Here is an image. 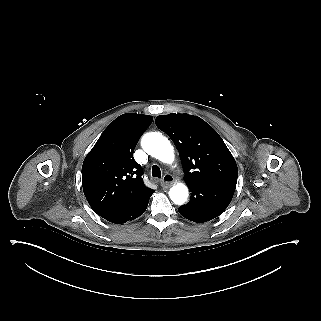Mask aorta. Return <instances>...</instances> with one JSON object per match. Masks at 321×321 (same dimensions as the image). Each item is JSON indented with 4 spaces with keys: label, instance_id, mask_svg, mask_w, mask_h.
<instances>
[{
    "label": "aorta",
    "instance_id": "762f6f07",
    "mask_svg": "<svg viewBox=\"0 0 321 321\" xmlns=\"http://www.w3.org/2000/svg\"><path fill=\"white\" fill-rule=\"evenodd\" d=\"M142 148L152 157L163 163L172 164L174 150L170 141L158 132L147 133L141 141ZM169 197L174 204L182 205L188 198V188L184 183H177L169 191Z\"/></svg>",
    "mask_w": 321,
    "mask_h": 321
}]
</instances>
